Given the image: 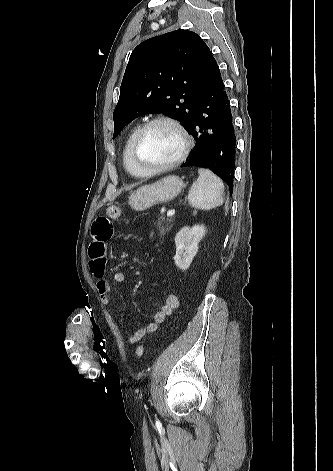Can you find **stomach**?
<instances>
[{
    "label": "stomach",
    "instance_id": "1",
    "mask_svg": "<svg viewBox=\"0 0 333 471\" xmlns=\"http://www.w3.org/2000/svg\"><path fill=\"white\" fill-rule=\"evenodd\" d=\"M182 180L175 176H166L159 181L138 188L130 197L132 210L141 212L152 206L174 199L181 192Z\"/></svg>",
    "mask_w": 333,
    "mask_h": 471
}]
</instances>
